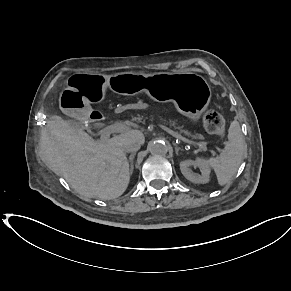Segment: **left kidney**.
<instances>
[{
  "label": "left kidney",
  "mask_w": 291,
  "mask_h": 291,
  "mask_svg": "<svg viewBox=\"0 0 291 291\" xmlns=\"http://www.w3.org/2000/svg\"><path fill=\"white\" fill-rule=\"evenodd\" d=\"M192 166L199 167L201 175L193 173ZM180 170L184 177L193 183L205 184L209 182L210 167L203 159L198 158L196 161L184 160L180 163Z\"/></svg>",
  "instance_id": "left-kidney-1"
}]
</instances>
